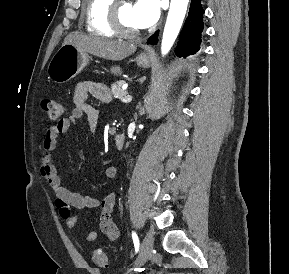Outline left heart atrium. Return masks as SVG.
Instances as JSON below:
<instances>
[{"label": "left heart atrium", "mask_w": 289, "mask_h": 274, "mask_svg": "<svg viewBox=\"0 0 289 274\" xmlns=\"http://www.w3.org/2000/svg\"><path fill=\"white\" fill-rule=\"evenodd\" d=\"M132 15L139 28L152 26L159 18L160 5L158 0H137L132 6Z\"/></svg>", "instance_id": "obj_1"}]
</instances>
